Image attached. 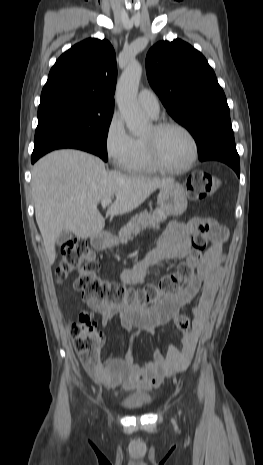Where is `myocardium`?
I'll return each mask as SVG.
<instances>
[{
    "mask_svg": "<svg viewBox=\"0 0 263 465\" xmlns=\"http://www.w3.org/2000/svg\"><path fill=\"white\" fill-rule=\"evenodd\" d=\"M175 128L189 138L192 144V156L189 161L183 166H171L166 164L160 157L158 146H157V135L166 129ZM153 134L150 137H143V143L146 149V153L151 164L160 171L169 173H183L189 171L196 163L199 156V144L194 134L183 124L176 121H160L152 125Z\"/></svg>",
    "mask_w": 263,
    "mask_h": 465,
    "instance_id": "myocardium-1",
    "label": "myocardium"
}]
</instances>
